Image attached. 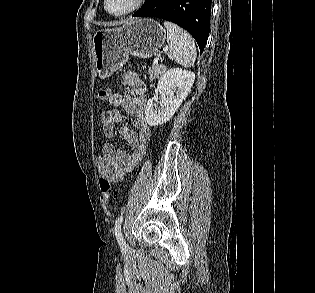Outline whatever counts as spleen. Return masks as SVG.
Instances as JSON below:
<instances>
[{
  "label": "spleen",
  "instance_id": "spleen-1",
  "mask_svg": "<svg viewBox=\"0 0 315 293\" xmlns=\"http://www.w3.org/2000/svg\"><path fill=\"white\" fill-rule=\"evenodd\" d=\"M164 26L167 30L168 57L183 67L193 66L197 54L193 38L172 22L165 21Z\"/></svg>",
  "mask_w": 315,
  "mask_h": 293
}]
</instances>
